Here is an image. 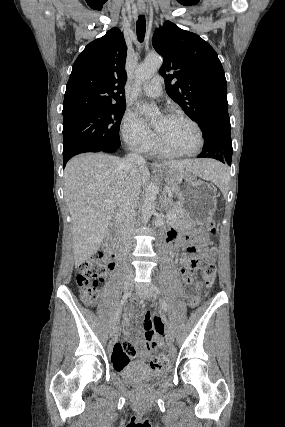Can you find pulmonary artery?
Wrapping results in <instances>:
<instances>
[{
  "instance_id": "pulmonary-artery-1",
  "label": "pulmonary artery",
  "mask_w": 285,
  "mask_h": 427,
  "mask_svg": "<svg viewBox=\"0 0 285 427\" xmlns=\"http://www.w3.org/2000/svg\"><path fill=\"white\" fill-rule=\"evenodd\" d=\"M162 83L163 79L161 76H154L149 82L143 86V93L150 98H158L162 95Z\"/></svg>"
}]
</instances>
